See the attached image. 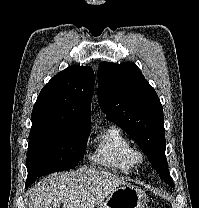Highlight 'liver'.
<instances>
[{"label":"liver","mask_w":199,"mask_h":208,"mask_svg":"<svg viewBox=\"0 0 199 208\" xmlns=\"http://www.w3.org/2000/svg\"><path fill=\"white\" fill-rule=\"evenodd\" d=\"M123 185L126 178L105 170L54 173L29 190L28 208H94Z\"/></svg>","instance_id":"obj_1"}]
</instances>
